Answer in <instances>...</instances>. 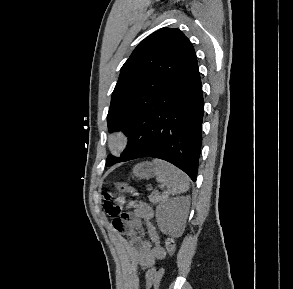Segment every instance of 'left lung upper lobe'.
I'll list each match as a JSON object with an SVG mask.
<instances>
[{
  "instance_id": "left-lung-upper-lobe-1",
  "label": "left lung upper lobe",
  "mask_w": 293,
  "mask_h": 289,
  "mask_svg": "<svg viewBox=\"0 0 293 289\" xmlns=\"http://www.w3.org/2000/svg\"><path fill=\"white\" fill-rule=\"evenodd\" d=\"M197 62L194 48L179 29L161 28L145 38L121 68L107 115L109 131L126 135L142 113ZM108 156L106 165L122 162Z\"/></svg>"
}]
</instances>
